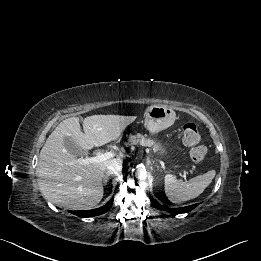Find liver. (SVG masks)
<instances>
[{
    "label": "liver",
    "mask_w": 261,
    "mask_h": 261,
    "mask_svg": "<svg viewBox=\"0 0 261 261\" xmlns=\"http://www.w3.org/2000/svg\"><path fill=\"white\" fill-rule=\"evenodd\" d=\"M135 116L92 115L63 120L49 135L39 155L37 175L42 195L55 205L84 209L98 204L103 197L102 179L107 165L115 160L80 164L69 152L64 137L71 138L81 149L90 150L118 140Z\"/></svg>",
    "instance_id": "obj_1"
}]
</instances>
